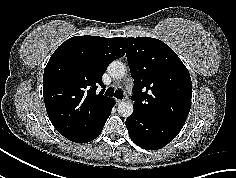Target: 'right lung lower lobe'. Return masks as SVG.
<instances>
[{
	"instance_id": "98d812e1",
	"label": "right lung lower lobe",
	"mask_w": 236,
	"mask_h": 178,
	"mask_svg": "<svg viewBox=\"0 0 236 178\" xmlns=\"http://www.w3.org/2000/svg\"><path fill=\"white\" fill-rule=\"evenodd\" d=\"M113 106L109 110V112L106 115V117L104 118V120L101 122V124L96 129H94L93 131L89 132L86 135H83V136H80V137H75V138H72V139H69V140H71L73 142H76V143H87V142H90V141L94 140L95 138H97L100 135V133H101V131H102V129H103L105 123H106L107 118L110 116Z\"/></svg>"
}]
</instances>
